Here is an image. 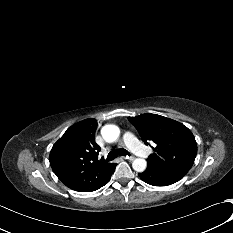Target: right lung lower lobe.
Segmentation results:
<instances>
[{
    "instance_id": "1",
    "label": "right lung lower lobe",
    "mask_w": 233,
    "mask_h": 233,
    "mask_svg": "<svg viewBox=\"0 0 233 233\" xmlns=\"http://www.w3.org/2000/svg\"><path fill=\"white\" fill-rule=\"evenodd\" d=\"M116 167V166H115ZM114 170H115V168H114ZM114 170H113V172H114ZM112 172V173H113ZM112 173H111V175H112ZM111 175L106 179V181L102 184V185H100L97 189H99L100 187H102V186H104L105 184H107L108 183V181L110 180V178H111ZM96 189V190H97Z\"/></svg>"
}]
</instances>
